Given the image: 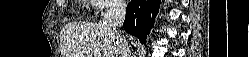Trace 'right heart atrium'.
I'll return each instance as SVG.
<instances>
[{"label": "right heart atrium", "mask_w": 249, "mask_h": 57, "mask_svg": "<svg viewBox=\"0 0 249 57\" xmlns=\"http://www.w3.org/2000/svg\"><path fill=\"white\" fill-rule=\"evenodd\" d=\"M93 6L102 14L108 13L118 7L121 6V2L119 1H111V0H98L93 1Z\"/></svg>", "instance_id": "1"}]
</instances>
